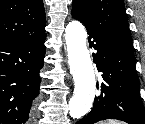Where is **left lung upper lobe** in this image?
<instances>
[{
	"mask_svg": "<svg viewBox=\"0 0 145 124\" xmlns=\"http://www.w3.org/2000/svg\"><path fill=\"white\" fill-rule=\"evenodd\" d=\"M71 14L87 29L133 53L123 0H73Z\"/></svg>",
	"mask_w": 145,
	"mask_h": 124,
	"instance_id": "5c2ea615",
	"label": "left lung upper lobe"
}]
</instances>
